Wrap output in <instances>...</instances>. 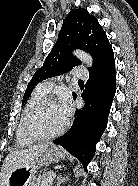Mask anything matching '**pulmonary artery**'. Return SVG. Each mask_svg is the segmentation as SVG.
<instances>
[{
	"instance_id": "1",
	"label": "pulmonary artery",
	"mask_w": 138,
	"mask_h": 186,
	"mask_svg": "<svg viewBox=\"0 0 138 186\" xmlns=\"http://www.w3.org/2000/svg\"><path fill=\"white\" fill-rule=\"evenodd\" d=\"M71 75L79 79H86L88 77V71L84 66H76L71 71ZM58 80L59 78L49 79L43 82L41 86L46 92H49Z\"/></svg>"
}]
</instances>
